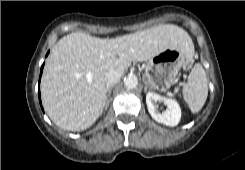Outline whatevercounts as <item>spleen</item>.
<instances>
[{
  "mask_svg": "<svg viewBox=\"0 0 245 170\" xmlns=\"http://www.w3.org/2000/svg\"><path fill=\"white\" fill-rule=\"evenodd\" d=\"M182 93L192 113L202 109L208 96V80L201 64H195L192 68Z\"/></svg>",
  "mask_w": 245,
  "mask_h": 170,
  "instance_id": "1",
  "label": "spleen"
}]
</instances>
